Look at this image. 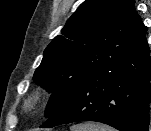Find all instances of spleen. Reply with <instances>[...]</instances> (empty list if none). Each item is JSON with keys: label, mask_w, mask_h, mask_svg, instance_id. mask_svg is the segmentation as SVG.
<instances>
[{"label": "spleen", "mask_w": 151, "mask_h": 131, "mask_svg": "<svg viewBox=\"0 0 151 131\" xmlns=\"http://www.w3.org/2000/svg\"><path fill=\"white\" fill-rule=\"evenodd\" d=\"M71 131H115L110 126L99 123H85L74 125L70 128Z\"/></svg>", "instance_id": "1"}]
</instances>
